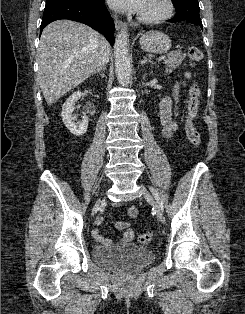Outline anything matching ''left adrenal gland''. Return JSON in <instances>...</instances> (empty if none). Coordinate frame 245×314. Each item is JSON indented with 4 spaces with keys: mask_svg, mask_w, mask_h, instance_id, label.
I'll use <instances>...</instances> for the list:
<instances>
[{
    "mask_svg": "<svg viewBox=\"0 0 245 314\" xmlns=\"http://www.w3.org/2000/svg\"><path fill=\"white\" fill-rule=\"evenodd\" d=\"M148 62L152 64V61L150 59H147V57L144 56L143 59L141 60V65L143 66L147 64Z\"/></svg>",
    "mask_w": 245,
    "mask_h": 314,
    "instance_id": "obj_1",
    "label": "left adrenal gland"
}]
</instances>
